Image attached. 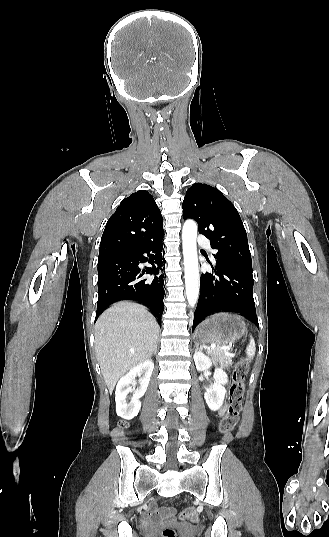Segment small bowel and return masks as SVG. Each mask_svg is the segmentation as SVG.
<instances>
[{
  "instance_id": "c3829d8e",
  "label": "small bowel",
  "mask_w": 329,
  "mask_h": 537,
  "mask_svg": "<svg viewBox=\"0 0 329 537\" xmlns=\"http://www.w3.org/2000/svg\"><path fill=\"white\" fill-rule=\"evenodd\" d=\"M226 411V405L222 406L221 409L218 411V414L220 416H223ZM149 517L153 520H166V521H173L174 518V510L172 508L164 507L160 509H156L154 506L151 507Z\"/></svg>"
}]
</instances>
